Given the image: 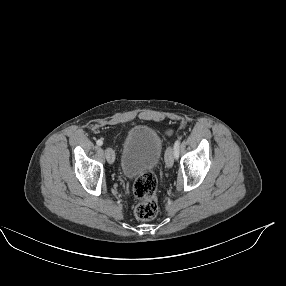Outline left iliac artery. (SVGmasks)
Returning a JSON list of instances; mask_svg holds the SVG:
<instances>
[{"instance_id":"obj_1","label":"left iliac artery","mask_w":286,"mask_h":286,"mask_svg":"<svg viewBox=\"0 0 286 286\" xmlns=\"http://www.w3.org/2000/svg\"><path fill=\"white\" fill-rule=\"evenodd\" d=\"M179 146H180V138H178L174 143V155L175 158H178L179 156Z\"/></svg>"}]
</instances>
